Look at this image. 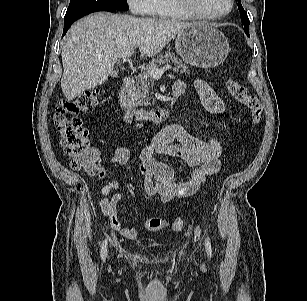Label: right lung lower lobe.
<instances>
[{
	"instance_id": "right-lung-lower-lobe-1",
	"label": "right lung lower lobe",
	"mask_w": 307,
	"mask_h": 301,
	"mask_svg": "<svg viewBox=\"0 0 307 301\" xmlns=\"http://www.w3.org/2000/svg\"><path fill=\"white\" fill-rule=\"evenodd\" d=\"M114 11H116V10H112V11H110V12H114ZM88 14H89V13H88ZM85 15H87V14H84V15H80V16H76V17H72V18L66 19V20L64 21V32H63V35H62V36H64V35L66 34L67 30L69 29V27L71 26V24H72L74 21L78 20L79 18H81V17H83V16H85Z\"/></svg>"
}]
</instances>
